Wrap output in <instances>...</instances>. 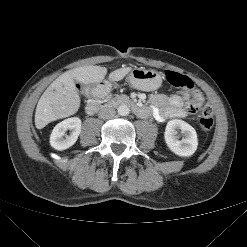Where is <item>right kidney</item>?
Masks as SVG:
<instances>
[{"mask_svg": "<svg viewBox=\"0 0 247 247\" xmlns=\"http://www.w3.org/2000/svg\"><path fill=\"white\" fill-rule=\"evenodd\" d=\"M81 123L78 117H71L58 123L50 135V145L59 151L73 146L81 133ZM67 130L71 131L70 135H66Z\"/></svg>", "mask_w": 247, "mask_h": 247, "instance_id": "ca27d5eb", "label": "right kidney"}]
</instances>
